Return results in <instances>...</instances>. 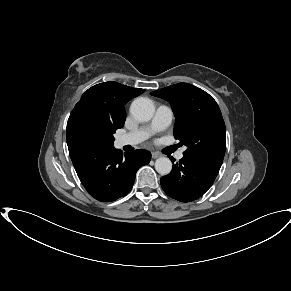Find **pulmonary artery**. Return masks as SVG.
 Returning <instances> with one entry per match:
<instances>
[{
    "label": "pulmonary artery",
    "instance_id": "obj_1",
    "mask_svg": "<svg viewBox=\"0 0 291 291\" xmlns=\"http://www.w3.org/2000/svg\"><path fill=\"white\" fill-rule=\"evenodd\" d=\"M173 120V111L167 105H159L156 109L155 115L152 119L150 125L146 127L138 128L132 132L124 134L117 138V145L119 147L125 145H136L147 138L152 134L158 131L165 130ZM177 158H183V151H180L177 154Z\"/></svg>",
    "mask_w": 291,
    "mask_h": 291
}]
</instances>
